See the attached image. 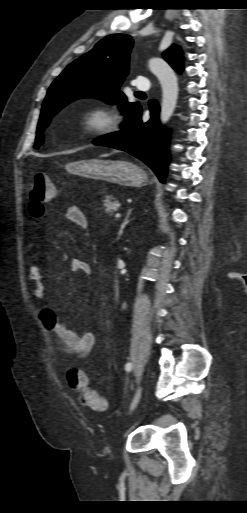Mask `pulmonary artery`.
<instances>
[{"instance_id": "pulmonary-artery-1", "label": "pulmonary artery", "mask_w": 247, "mask_h": 513, "mask_svg": "<svg viewBox=\"0 0 247 513\" xmlns=\"http://www.w3.org/2000/svg\"><path fill=\"white\" fill-rule=\"evenodd\" d=\"M135 86H136V89H138V90L146 91V90L149 89L150 84H149V81L147 79L141 78V79H138L136 81Z\"/></svg>"}]
</instances>
